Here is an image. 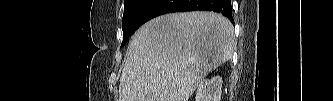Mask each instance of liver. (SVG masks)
<instances>
[{
  "mask_svg": "<svg viewBox=\"0 0 333 101\" xmlns=\"http://www.w3.org/2000/svg\"><path fill=\"white\" fill-rule=\"evenodd\" d=\"M233 45V25L221 14L156 17L131 39L119 101H188L199 83L231 58Z\"/></svg>",
  "mask_w": 333,
  "mask_h": 101,
  "instance_id": "6515ba94",
  "label": "liver"
}]
</instances>
